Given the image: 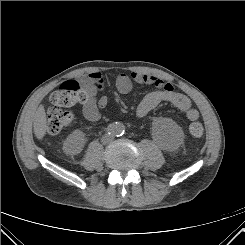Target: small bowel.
Wrapping results in <instances>:
<instances>
[{
    "mask_svg": "<svg viewBox=\"0 0 245 245\" xmlns=\"http://www.w3.org/2000/svg\"><path fill=\"white\" fill-rule=\"evenodd\" d=\"M80 82L89 92V98L83 102V116L89 121H98L101 117L99 109L104 108L108 104L106 96H99L102 86V76L98 72H91L86 76L80 77ZM153 85L156 90L149 92L138 104L135 116L142 119L147 116L162 102H168L184 112L189 121H196L199 118V112L193 108L191 100L174 90V87L162 79L141 72H132L130 75L120 73L116 78V88L120 94H128L134 84Z\"/></svg>",
    "mask_w": 245,
    "mask_h": 245,
    "instance_id": "1",
    "label": "small bowel"
}]
</instances>
